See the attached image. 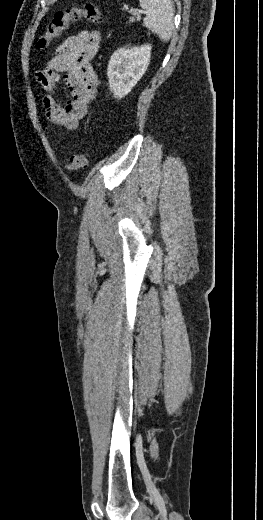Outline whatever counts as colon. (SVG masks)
I'll list each match as a JSON object with an SVG mask.
<instances>
[{"mask_svg": "<svg viewBox=\"0 0 263 520\" xmlns=\"http://www.w3.org/2000/svg\"><path fill=\"white\" fill-rule=\"evenodd\" d=\"M86 19L94 23H102L104 16L100 8L93 3H86L82 7H70L54 14L51 21L46 26L44 32L38 39V49L49 47L55 39H57L70 24ZM88 157L86 152L73 155L69 160L63 162L66 171L76 172L87 167Z\"/></svg>", "mask_w": 263, "mask_h": 520, "instance_id": "obj_1", "label": "colon"}]
</instances>
